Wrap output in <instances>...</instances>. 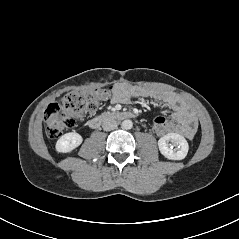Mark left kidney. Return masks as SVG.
<instances>
[{
  "label": "left kidney",
  "mask_w": 239,
  "mask_h": 239,
  "mask_svg": "<svg viewBox=\"0 0 239 239\" xmlns=\"http://www.w3.org/2000/svg\"><path fill=\"white\" fill-rule=\"evenodd\" d=\"M158 147L161 154L170 160L184 159L189 149L186 139L177 133L164 135L158 140Z\"/></svg>",
  "instance_id": "left-kidney-1"
}]
</instances>
